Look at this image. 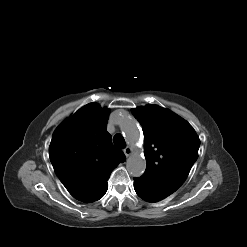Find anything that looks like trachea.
Wrapping results in <instances>:
<instances>
[{"instance_id": "obj_1", "label": "trachea", "mask_w": 247, "mask_h": 247, "mask_svg": "<svg viewBox=\"0 0 247 247\" xmlns=\"http://www.w3.org/2000/svg\"><path fill=\"white\" fill-rule=\"evenodd\" d=\"M113 142H114V144H115L117 147H119V148H124L125 145H126L123 136L120 135V134H117V135L114 136Z\"/></svg>"}]
</instances>
